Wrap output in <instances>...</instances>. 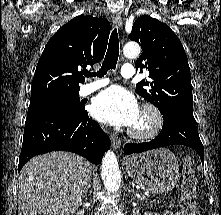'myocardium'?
<instances>
[{
	"label": "myocardium",
	"instance_id": "f54148a6",
	"mask_svg": "<svg viewBox=\"0 0 221 215\" xmlns=\"http://www.w3.org/2000/svg\"><path fill=\"white\" fill-rule=\"evenodd\" d=\"M140 113L145 114L149 118V125L144 129H135L131 127L128 130L130 137L136 140H147L157 136L164 124V118L159 108L152 103L142 105Z\"/></svg>",
	"mask_w": 221,
	"mask_h": 215
}]
</instances>
